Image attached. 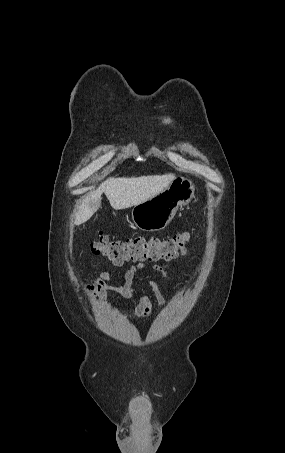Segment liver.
Returning a JSON list of instances; mask_svg holds the SVG:
<instances>
[{
	"instance_id": "6515ba94",
	"label": "liver",
	"mask_w": 285,
	"mask_h": 453,
	"mask_svg": "<svg viewBox=\"0 0 285 453\" xmlns=\"http://www.w3.org/2000/svg\"><path fill=\"white\" fill-rule=\"evenodd\" d=\"M175 178L173 174L141 176L131 178H108L95 191L84 198L75 214V224L88 221L101 206V195L105 193L115 210L130 208L165 190Z\"/></svg>"
}]
</instances>
